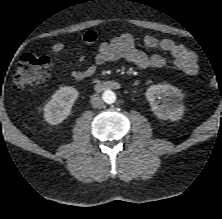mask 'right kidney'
Returning <instances> with one entry per match:
<instances>
[{
  "instance_id": "obj_1",
  "label": "right kidney",
  "mask_w": 222,
  "mask_h": 219,
  "mask_svg": "<svg viewBox=\"0 0 222 219\" xmlns=\"http://www.w3.org/2000/svg\"><path fill=\"white\" fill-rule=\"evenodd\" d=\"M78 96L79 93L74 87H60L44 106L45 121L51 125H58L63 122L70 115L72 106Z\"/></svg>"
}]
</instances>
